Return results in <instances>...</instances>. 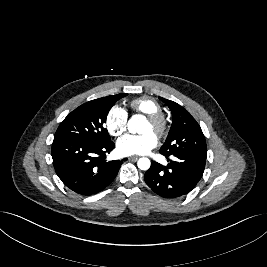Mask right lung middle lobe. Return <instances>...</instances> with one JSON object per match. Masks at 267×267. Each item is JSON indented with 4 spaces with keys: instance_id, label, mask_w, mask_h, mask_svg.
I'll list each match as a JSON object with an SVG mask.
<instances>
[{
    "instance_id": "obj_1",
    "label": "right lung middle lobe",
    "mask_w": 267,
    "mask_h": 267,
    "mask_svg": "<svg viewBox=\"0 0 267 267\" xmlns=\"http://www.w3.org/2000/svg\"><path fill=\"white\" fill-rule=\"evenodd\" d=\"M126 95L121 93L82 104L62 121L54 135V140H73L89 143L111 141L104 123L111 107Z\"/></svg>"
}]
</instances>
